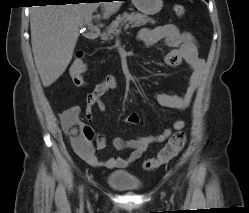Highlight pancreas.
I'll return each instance as SVG.
<instances>
[{
	"label": "pancreas",
	"instance_id": "1",
	"mask_svg": "<svg viewBox=\"0 0 249 213\" xmlns=\"http://www.w3.org/2000/svg\"><path fill=\"white\" fill-rule=\"evenodd\" d=\"M147 23L155 24L153 19L148 18L146 15L138 12H124L122 15H118L116 19L106 28L101 34V39L104 41L112 40L115 36L121 33V29L141 27Z\"/></svg>",
	"mask_w": 249,
	"mask_h": 213
}]
</instances>
